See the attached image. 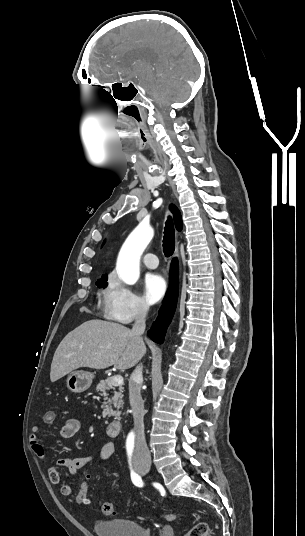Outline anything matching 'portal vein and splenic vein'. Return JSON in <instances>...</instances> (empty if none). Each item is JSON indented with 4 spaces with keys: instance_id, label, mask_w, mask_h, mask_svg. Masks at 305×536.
<instances>
[{
    "instance_id": "18ae733b",
    "label": "portal vein and splenic vein",
    "mask_w": 305,
    "mask_h": 536,
    "mask_svg": "<svg viewBox=\"0 0 305 536\" xmlns=\"http://www.w3.org/2000/svg\"><path fill=\"white\" fill-rule=\"evenodd\" d=\"M112 384H115V386H122V384H123L122 376H113Z\"/></svg>"
}]
</instances>
